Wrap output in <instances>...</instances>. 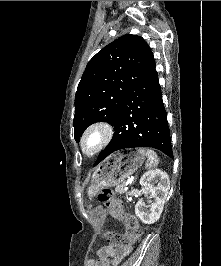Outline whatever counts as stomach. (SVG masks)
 Segmentation results:
<instances>
[{"instance_id":"stomach-1","label":"stomach","mask_w":221,"mask_h":266,"mask_svg":"<svg viewBox=\"0 0 221 266\" xmlns=\"http://www.w3.org/2000/svg\"><path fill=\"white\" fill-rule=\"evenodd\" d=\"M145 154L141 150H127L108 156L100 163L88 187V196L94 197L105 187H112L131 176L144 162Z\"/></svg>"}]
</instances>
